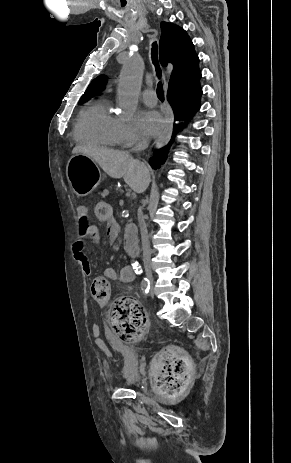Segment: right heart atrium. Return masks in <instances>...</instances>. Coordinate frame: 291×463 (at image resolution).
Wrapping results in <instances>:
<instances>
[{"label":"right heart atrium","instance_id":"d8ad5b80","mask_svg":"<svg viewBox=\"0 0 291 463\" xmlns=\"http://www.w3.org/2000/svg\"><path fill=\"white\" fill-rule=\"evenodd\" d=\"M120 136L121 142L127 146H133L141 141V135L132 123H121Z\"/></svg>","mask_w":291,"mask_h":463}]
</instances>
